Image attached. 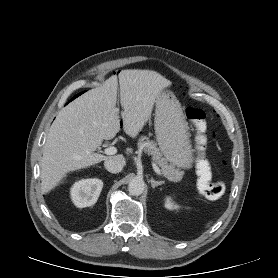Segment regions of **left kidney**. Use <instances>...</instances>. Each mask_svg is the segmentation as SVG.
I'll list each match as a JSON object with an SVG mask.
<instances>
[{
    "mask_svg": "<svg viewBox=\"0 0 278 278\" xmlns=\"http://www.w3.org/2000/svg\"><path fill=\"white\" fill-rule=\"evenodd\" d=\"M165 207L169 210H177L179 208V206L172 201L171 197L166 198Z\"/></svg>",
    "mask_w": 278,
    "mask_h": 278,
    "instance_id": "1",
    "label": "left kidney"
}]
</instances>
